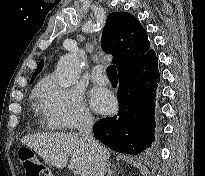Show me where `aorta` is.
<instances>
[{
	"label": "aorta",
	"instance_id": "aorta-1",
	"mask_svg": "<svg viewBox=\"0 0 205 176\" xmlns=\"http://www.w3.org/2000/svg\"><path fill=\"white\" fill-rule=\"evenodd\" d=\"M58 83L63 88L73 86L80 76V62L76 54H66L57 64Z\"/></svg>",
	"mask_w": 205,
	"mask_h": 176
}]
</instances>
